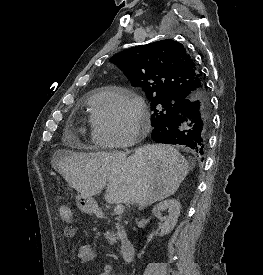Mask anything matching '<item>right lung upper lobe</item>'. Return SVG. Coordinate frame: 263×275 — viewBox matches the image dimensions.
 Segmentation results:
<instances>
[{"instance_id": "1", "label": "right lung upper lobe", "mask_w": 263, "mask_h": 275, "mask_svg": "<svg viewBox=\"0 0 263 275\" xmlns=\"http://www.w3.org/2000/svg\"><path fill=\"white\" fill-rule=\"evenodd\" d=\"M110 61L124 71L133 86L142 87L147 97L185 100L206 88L194 61L174 40L132 47Z\"/></svg>"}]
</instances>
